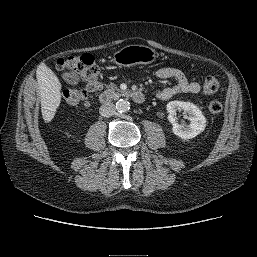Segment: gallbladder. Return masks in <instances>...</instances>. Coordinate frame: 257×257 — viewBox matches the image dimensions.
<instances>
[{"mask_svg": "<svg viewBox=\"0 0 257 257\" xmlns=\"http://www.w3.org/2000/svg\"><path fill=\"white\" fill-rule=\"evenodd\" d=\"M63 79L72 85H76L79 82V76L74 72H67L63 74Z\"/></svg>", "mask_w": 257, "mask_h": 257, "instance_id": "bac80fb5", "label": "gallbladder"}]
</instances>
